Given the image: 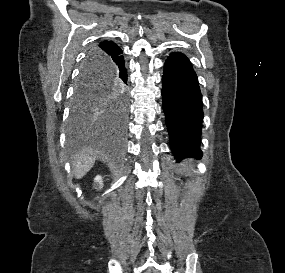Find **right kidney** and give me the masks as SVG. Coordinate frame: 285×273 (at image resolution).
<instances>
[{
  "label": "right kidney",
  "mask_w": 285,
  "mask_h": 273,
  "mask_svg": "<svg viewBox=\"0 0 285 273\" xmlns=\"http://www.w3.org/2000/svg\"><path fill=\"white\" fill-rule=\"evenodd\" d=\"M95 182H98L100 184L99 188L101 189L103 186V181H102V177L100 175L96 176L94 179Z\"/></svg>",
  "instance_id": "1"
}]
</instances>
